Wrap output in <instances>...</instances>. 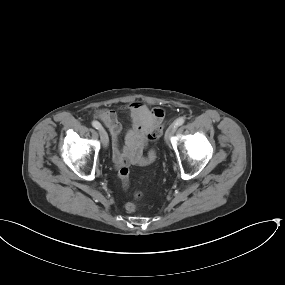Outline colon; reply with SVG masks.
Instances as JSON below:
<instances>
[{
    "mask_svg": "<svg viewBox=\"0 0 285 285\" xmlns=\"http://www.w3.org/2000/svg\"><path fill=\"white\" fill-rule=\"evenodd\" d=\"M161 134L162 127L160 125H157L156 128L148 134V139L149 141L154 142L160 138ZM129 175L130 170L127 166H123L118 169V177L125 185L128 184ZM140 197V193H135L136 199H139ZM125 209L130 213H135L139 210V205L135 202H127L125 205Z\"/></svg>",
    "mask_w": 285,
    "mask_h": 285,
    "instance_id": "5ec220e1",
    "label": "colon"
}]
</instances>
